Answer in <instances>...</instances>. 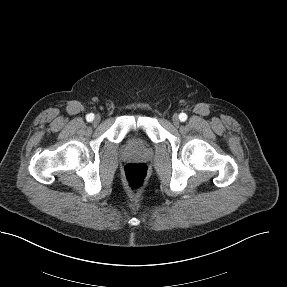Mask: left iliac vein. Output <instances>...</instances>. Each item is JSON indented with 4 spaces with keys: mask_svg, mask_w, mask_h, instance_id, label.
<instances>
[{
    "mask_svg": "<svg viewBox=\"0 0 287 287\" xmlns=\"http://www.w3.org/2000/svg\"><path fill=\"white\" fill-rule=\"evenodd\" d=\"M172 122H173V124H174L176 127L179 126L180 121H179V116H178L177 114H174V115L172 116Z\"/></svg>",
    "mask_w": 287,
    "mask_h": 287,
    "instance_id": "4c4485c4",
    "label": "left iliac vein"
}]
</instances>
